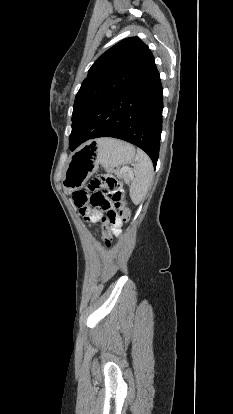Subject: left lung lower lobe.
Here are the masks:
<instances>
[{"label": "left lung lower lobe", "instance_id": "left-lung-lower-lobe-1", "mask_svg": "<svg viewBox=\"0 0 233 414\" xmlns=\"http://www.w3.org/2000/svg\"><path fill=\"white\" fill-rule=\"evenodd\" d=\"M162 85L154 66L129 87L84 113L72 124L73 151L87 140L114 137L144 150L156 167L162 131Z\"/></svg>", "mask_w": 233, "mask_h": 414}]
</instances>
